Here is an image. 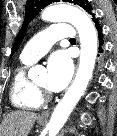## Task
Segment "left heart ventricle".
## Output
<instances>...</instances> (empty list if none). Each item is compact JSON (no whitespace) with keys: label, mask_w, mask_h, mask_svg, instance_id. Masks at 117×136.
I'll return each mask as SVG.
<instances>
[{"label":"left heart ventricle","mask_w":117,"mask_h":136,"mask_svg":"<svg viewBox=\"0 0 117 136\" xmlns=\"http://www.w3.org/2000/svg\"><path fill=\"white\" fill-rule=\"evenodd\" d=\"M46 80H47L46 75H43V76L37 81V84H39V85H41V86H45V85H46Z\"/></svg>","instance_id":"1"}]
</instances>
